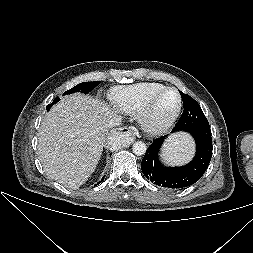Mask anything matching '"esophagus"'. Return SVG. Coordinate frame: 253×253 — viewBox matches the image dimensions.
I'll list each match as a JSON object with an SVG mask.
<instances>
[{"label": "esophagus", "mask_w": 253, "mask_h": 253, "mask_svg": "<svg viewBox=\"0 0 253 253\" xmlns=\"http://www.w3.org/2000/svg\"><path fill=\"white\" fill-rule=\"evenodd\" d=\"M117 134H122V133H127L131 138H135V132L133 128H126V127H122V128H118L116 131Z\"/></svg>", "instance_id": "obj_1"}]
</instances>
